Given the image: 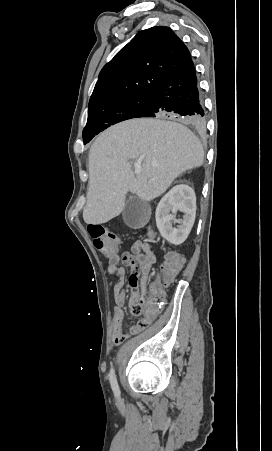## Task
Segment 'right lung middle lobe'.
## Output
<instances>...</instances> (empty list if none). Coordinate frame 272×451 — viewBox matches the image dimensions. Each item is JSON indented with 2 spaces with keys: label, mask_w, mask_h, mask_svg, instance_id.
I'll use <instances>...</instances> for the list:
<instances>
[{
  "label": "right lung middle lobe",
  "mask_w": 272,
  "mask_h": 451,
  "mask_svg": "<svg viewBox=\"0 0 272 451\" xmlns=\"http://www.w3.org/2000/svg\"><path fill=\"white\" fill-rule=\"evenodd\" d=\"M149 98L150 95L118 97L89 108L83 130L84 144L111 125L136 118L147 107Z\"/></svg>",
  "instance_id": "right-lung-middle-lobe-1"
}]
</instances>
